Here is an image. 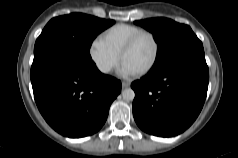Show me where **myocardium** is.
Listing matches in <instances>:
<instances>
[{
  "label": "myocardium",
  "instance_id": "obj_1",
  "mask_svg": "<svg viewBox=\"0 0 238 158\" xmlns=\"http://www.w3.org/2000/svg\"><path fill=\"white\" fill-rule=\"evenodd\" d=\"M143 36H149L152 39V41L154 43L155 51H154V55H153V58L150 61V63L143 69L139 70L137 72L138 74L148 73L150 70L153 69V67L156 65V63L158 61V58L160 55V43H159L157 37L155 36V34L150 31H146V30L138 32L137 34H135L134 36H132L129 39V41L124 45V47L122 48V50L120 52V59L123 62L124 56L137 44V42Z\"/></svg>",
  "mask_w": 238,
  "mask_h": 158
}]
</instances>
